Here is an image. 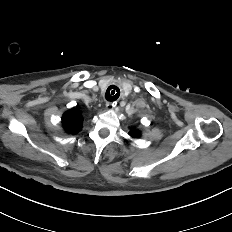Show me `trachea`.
I'll return each instance as SVG.
<instances>
[{
	"mask_svg": "<svg viewBox=\"0 0 232 232\" xmlns=\"http://www.w3.org/2000/svg\"><path fill=\"white\" fill-rule=\"evenodd\" d=\"M119 96H120V89L117 86L111 85L107 88L105 98L108 101H115L118 99Z\"/></svg>",
	"mask_w": 232,
	"mask_h": 232,
	"instance_id": "3493384b",
	"label": "trachea"
}]
</instances>
